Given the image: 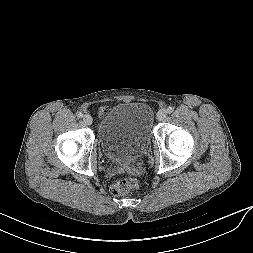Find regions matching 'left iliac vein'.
I'll return each mask as SVG.
<instances>
[{"label": "left iliac vein", "instance_id": "4c4485c4", "mask_svg": "<svg viewBox=\"0 0 253 253\" xmlns=\"http://www.w3.org/2000/svg\"><path fill=\"white\" fill-rule=\"evenodd\" d=\"M166 117H167V111L165 109H161V110L158 111V113H157V119L159 121L165 120Z\"/></svg>", "mask_w": 253, "mask_h": 253}]
</instances>
